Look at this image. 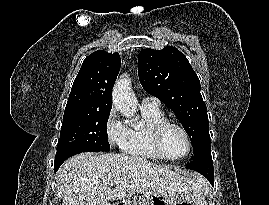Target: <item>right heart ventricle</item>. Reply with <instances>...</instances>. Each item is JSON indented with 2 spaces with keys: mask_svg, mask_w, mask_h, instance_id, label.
Masks as SVG:
<instances>
[{
  "mask_svg": "<svg viewBox=\"0 0 269 205\" xmlns=\"http://www.w3.org/2000/svg\"><path fill=\"white\" fill-rule=\"evenodd\" d=\"M141 114L145 122L142 128L129 130L128 143L123 151L126 155L145 160H162L154 151L150 143V130L158 122L165 119L164 113L158 109L141 107Z\"/></svg>",
  "mask_w": 269,
  "mask_h": 205,
  "instance_id": "obj_1",
  "label": "right heart ventricle"
}]
</instances>
